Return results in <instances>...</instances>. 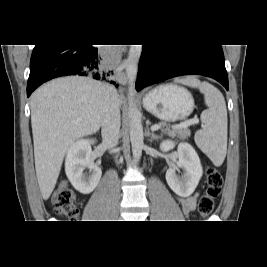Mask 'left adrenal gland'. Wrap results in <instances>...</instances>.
Here are the masks:
<instances>
[{"instance_id": "left-adrenal-gland-1", "label": "left adrenal gland", "mask_w": 267, "mask_h": 267, "mask_svg": "<svg viewBox=\"0 0 267 267\" xmlns=\"http://www.w3.org/2000/svg\"><path fill=\"white\" fill-rule=\"evenodd\" d=\"M146 136H147V137H150V140H151V141H152V140H158V139L161 138L159 135H156V134L153 133V132L151 133L150 130H149V128H147Z\"/></svg>"}]
</instances>
